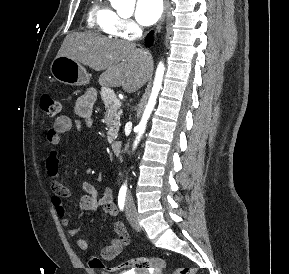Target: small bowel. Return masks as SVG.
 Instances as JSON below:
<instances>
[{
  "label": "small bowel",
  "mask_w": 289,
  "mask_h": 274,
  "mask_svg": "<svg viewBox=\"0 0 289 274\" xmlns=\"http://www.w3.org/2000/svg\"><path fill=\"white\" fill-rule=\"evenodd\" d=\"M94 94L88 93L76 101L75 110L77 115L83 120L85 127L92 126V110L94 106ZM73 122L70 117L62 115L55 119L51 127L46 133V141L48 143V155L46 157V171L50 178V188L52 191L51 203L60 218L63 226L67 228L70 236L76 237L79 230L70 225L68 219V212L64 205V199L71 196V191L68 187L63 185L59 180V158L58 145L61 136L71 130ZM77 130L82 128V122L77 121L75 124ZM82 195L79 199V208L83 211H93L102 208L109 216L116 218L118 215L117 207L113 201V191L111 187H107L103 195L98 197L95 187L87 181L82 183ZM113 229L116 237L111 242L102 248L101 256L104 260L115 259L129 244V236L123 223L116 220L113 224ZM76 244L80 250L86 251L89 248L88 242L81 237H78Z\"/></svg>",
  "instance_id": "1"
}]
</instances>
